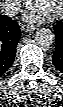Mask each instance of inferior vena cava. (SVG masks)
<instances>
[{
    "mask_svg": "<svg viewBox=\"0 0 63 107\" xmlns=\"http://www.w3.org/2000/svg\"><path fill=\"white\" fill-rule=\"evenodd\" d=\"M1 5L2 12L9 17H14L20 9V4L16 1H3Z\"/></svg>",
    "mask_w": 63,
    "mask_h": 107,
    "instance_id": "inferior-vena-cava-1",
    "label": "inferior vena cava"
}]
</instances>
